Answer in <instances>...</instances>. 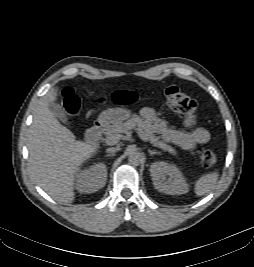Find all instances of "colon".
I'll list each match as a JSON object with an SVG mask.
<instances>
[{
  "label": "colon",
  "mask_w": 254,
  "mask_h": 267,
  "mask_svg": "<svg viewBox=\"0 0 254 267\" xmlns=\"http://www.w3.org/2000/svg\"><path fill=\"white\" fill-rule=\"evenodd\" d=\"M164 99L167 107L174 113L182 116H191L197 109L194 99L186 95L176 86L167 87L164 90ZM138 99V94L130 90H118L110 96V101L115 104H132ZM61 100L63 107L68 115H76L80 110V99L75 91L66 87L62 90ZM217 161L216 155L211 150L199 151V162L203 167H211Z\"/></svg>",
  "instance_id": "colon-1"
}]
</instances>
